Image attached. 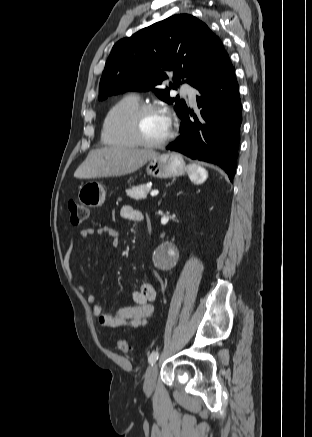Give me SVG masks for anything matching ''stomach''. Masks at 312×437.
<instances>
[{"instance_id": "obj_1", "label": "stomach", "mask_w": 312, "mask_h": 437, "mask_svg": "<svg viewBox=\"0 0 312 437\" xmlns=\"http://www.w3.org/2000/svg\"><path fill=\"white\" fill-rule=\"evenodd\" d=\"M185 171V162L182 156L176 152L157 154L149 160L146 166L148 175L161 179L181 176ZM105 198L106 191L103 185L97 181L86 182L78 192L79 202L90 208L101 206Z\"/></svg>"}]
</instances>
